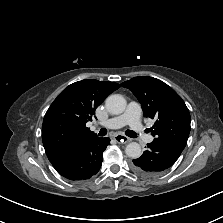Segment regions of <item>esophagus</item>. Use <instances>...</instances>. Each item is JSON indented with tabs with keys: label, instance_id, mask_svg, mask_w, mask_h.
I'll use <instances>...</instances> for the list:
<instances>
[{
	"label": "esophagus",
	"instance_id": "34e87169",
	"mask_svg": "<svg viewBox=\"0 0 223 223\" xmlns=\"http://www.w3.org/2000/svg\"><path fill=\"white\" fill-rule=\"evenodd\" d=\"M113 138L118 142V143H123V144H126L130 141V138H128L127 136L125 135H122V134H116L113 136Z\"/></svg>",
	"mask_w": 223,
	"mask_h": 223
}]
</instances>
